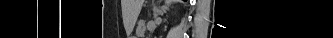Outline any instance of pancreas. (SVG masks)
<instances>
[{"label":"pancreas","instance_id":"1","mask_svg":"<svg viewBox=\"0 0 333 38\" xmlns=\"http://www.w3.org/2000/svg\"><path fill=\"white\" fill-rule=\"evenodd\" d=\"M139 32H140L141 36L144 34V26L143 25L139 26Z\"/></svg>","mask_w":333,"mask_h":38}]
</instances>
